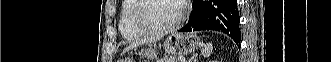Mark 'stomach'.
Segmentation results:
<instances>
[{"label": "stomach", "mask_w": 331, "mask_h": 62, "mask_svg": "<svg viewBox=\"0 0 331 62\" xmlns=\"http://www.w3.org/2000/svg\"><path fill=\"white\" fill-rule=\"evenodd\" d=\"M201 45L200 40L194 34L172 33L164 41L163 48L166 53L172 55H186L196 51ZM148 60L156 58V50L152 47L143 51Z\"/></svg>", "instance_id": "obj_1"}]
</instances>
